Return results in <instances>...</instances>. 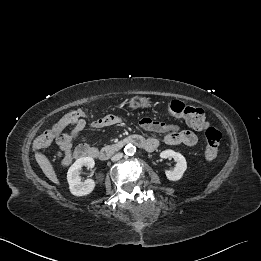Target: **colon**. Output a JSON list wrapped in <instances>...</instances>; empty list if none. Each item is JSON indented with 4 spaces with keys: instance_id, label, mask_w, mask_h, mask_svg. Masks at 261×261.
<instances>
[{
    "instance_id": "obj_1",
    "label": "colon",
    "mask_w": 261,
    "mask_h": 261,
    "mask_svg": "<svg viewBox=\"0 0 261 261\" xmlns=\"http://www.w3.org/2000/svg\"><path fill=\"white\" fill-rule=\"evenodd\" d=\"M167 113L172 117L184 120L195 130H204L206 138L205 159L206 161L211 162L217 157L221 133L216 128L208 125L204 111L201 108L174 100L169 103ZM85 117H88V115L79 109L66 113L59 121L57 127L53 130H47L36 138L34 147L36 149H42L52 142H57L59 144L70 143L73 137L83 129ZM68 126H71V130L68 133H64V129Z\"/></svg>"
}]
</instances>
